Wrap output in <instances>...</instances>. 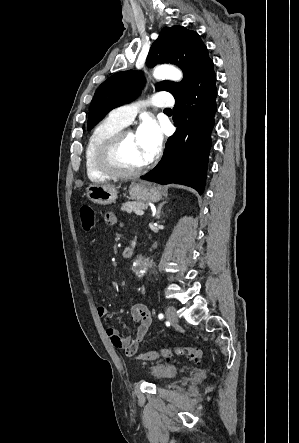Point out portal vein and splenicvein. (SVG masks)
<instances>
[{"mask_svg":"<svg viewBox=\"0 0 299 443\" xmlns=\"http://www.w3.org/2000/svg\"><path fill=\"white\" fill-rule=\"evenodd\" d=\"M135 214L138 216H142V215H144V211L143 210H136Z\"/></svg>","mask_w":299,"mask_h":443,"instance_id":"obj_1","label":"portal vein and splenic vein"}]
</instances>
